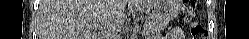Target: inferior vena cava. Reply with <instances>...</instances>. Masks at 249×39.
Instances as JSON below:
<instances>
[{"instance_id": "inferior-vena-cava-1", "label": "inferior vena cava", "mask_w": 249, "mask_h": 39, "mask_svg": "<svg viewBox=\"0 0 249 39\" xmlns=\"http://www.w3.org/2000/svg\"><path fill=\"white\" fill-rule=\"evenodd\" d=\"M107 34L109 39H116L118 35V29L117 28L108 29Z\"/></svg>"}]
</instances>
